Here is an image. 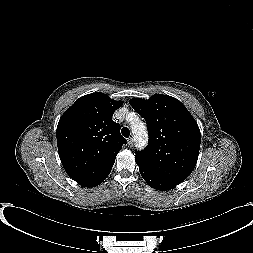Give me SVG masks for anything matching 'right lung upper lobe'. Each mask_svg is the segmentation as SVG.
I'll list each match as a JSON object with an SVG mask.
<instances>
[{"label":"right lung upper lobe","mask_w":253,"mask_h":253,"mask_svg":"<svg viewBox=\"0 0 253 253\" xmlns=\"http://www.w3.org/2000/svg\"><path fill=\"white\" fill-rule=\"evenodd\" d=\"M122 105L104 93L82 96L62 115L57 146L67 174L80 185L94 187L110 173L116 155L126 144L120 125L112 120Z\"/></svg>","instance_id":"cb5924a9"}]
</instances>
